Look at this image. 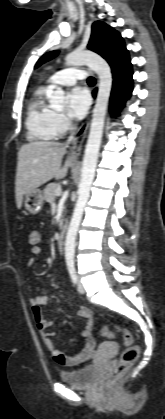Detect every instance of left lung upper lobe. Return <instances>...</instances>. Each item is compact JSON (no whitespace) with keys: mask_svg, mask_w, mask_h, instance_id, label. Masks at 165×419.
I'll return each mask as SVG.
<instances>
[{"mask_svg":"<svg viewBox=\"0 0 165 419\" xmlns=\"http://www.w3.org/2000/svg\"><path fill=\"white\" fill-rule=\"evenodd\" d=\"M88 48L101 55L110 65L126 51L120 33L101 21H96L92 25V34ZM57 54L58 51L44 54L37 62L36 67L54 58Z\"/></svg>","mask_w":165,"mask_h":419,"instance_id":"left-lung-upper-lobe-1","label":"left lung upper lobe"}]
</instances>
